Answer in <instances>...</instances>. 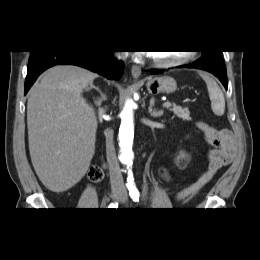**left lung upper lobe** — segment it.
Returning a JSON list of instances; mask_svg holds the SVG:
<instances>
[{"label": "left lung upper lobe", "mask_w": 260, "mask_h": 260, "mask_svg": "<svg viewBox=\"0 0 260 260\" xmlns=\"http://www.w3.org/2000/svg\"><path fill=\"white\" fill-rule=\"evenodd\" d=\"M203 52V54H205V53H216V54H219V51H202Z\"/></svg>", "instance_id": "left-lung-upper-lobe-1"}]
</instances>
